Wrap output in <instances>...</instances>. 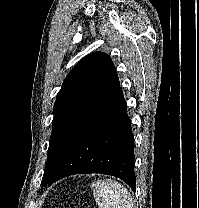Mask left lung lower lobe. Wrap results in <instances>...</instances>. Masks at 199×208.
I'll return each mask as SVG.
<instances>
[{
  "mask_svg": "<svg viewBox=\"0 0 199 208\" xmlns=\"http://www.w3.org/2000/svg\"><path fill=\"white\" fill-rule=\"evenodd\" d=\"M134 136L120 86L74 131L46 185L73 174L119 177L135 192Z\"/></svg>",
  "mask_w": 199,
  "mask_h": 208,
  "instance_id": "obj_1",
  "label": "left lung lower lobe"
}]
</instances>
